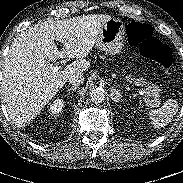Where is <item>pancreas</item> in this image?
<instances>
[{
  "label": "pancreas",
  "instance_id": "pancreas-1",
  "mask_svg": "<svg viewBox=\"0 0 183 183\" xmlns=\"http://www.w3.org/2000/svg\"><path fill=\"white\" fill-rule=\"evenodd\" d=\"M134 83L137 86L145 87L147 89V96H148V107H158L160 105V93L161 88L158 85L151 84L150 82L146 81L143 77L134 79Z\"/></svg>",
  "mask_w": 183,
  "mask_h": 183
}]
</instances>
